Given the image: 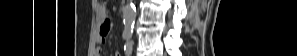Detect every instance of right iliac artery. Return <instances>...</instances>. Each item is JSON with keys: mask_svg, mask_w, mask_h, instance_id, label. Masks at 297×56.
<instances>
[{"mask_svg": "<svg viewBox=\"0 0 297 56\" xmlns=\"http://www.w3.org/2000/svg\"><path fill=\"white\" fill-rule=\"evenodd\" d=\"M123 38L128 40V39L130 38V35H128V34H124V35H123Z\"/></svg>", "mask_w": 297, "mask_h": 56, "instance_id": "obj_1", "label": "right iliac artery"}]
</instances>
